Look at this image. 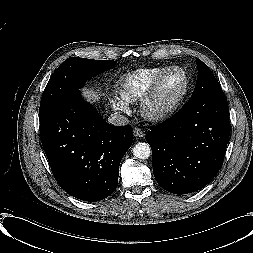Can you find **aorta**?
Here are the masks:
<instances>
[{
  "instance_id": "1",
  "label": "aorta",
  "mask_w": 253,
  "mask_h": 253,
  "mask_svg": "<svg viewBox=\"0 0 253 253\" xmlns=\"http://www.w3.org/2000/svg\"><path fill=\"white\" fill-rule=\"evenodd\" d=\"M151 148L147 143L139 142L133 148V155L138 159H147L150 157Z\"/></svg>"
}]
</instances>
